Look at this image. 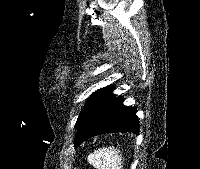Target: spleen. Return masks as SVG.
I'll return each instance as SVG.
<instances>
[{"label":"spleen","instance_id":"obj_1","mask_svg":"<svg viewBox=\"0 0 200 169\" xmlns=\"http://www.w3.org/2000/svg\"><path fill=\"white\" fill-rule=\"evenodd\" d=\"M88 162L97 169H122L123 157L120 150L104 147L90 154Z\"/></svg>","mask_w":200,"mask_h":169}]
</instances>
